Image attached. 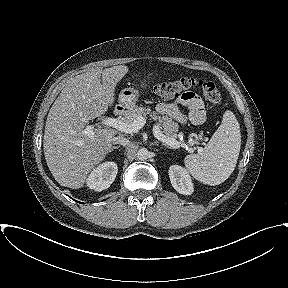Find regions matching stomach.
<instances>
[{
  "instance_id": "0dacf381",
  "label": "stomach",
  "mask_w": 288,
  "mask_h": 288,
  "mask_svg": "<svg viewBox=\"0 0 288 288\" xmlns=\"http://www.w3.org/2000/svg\"><path fill=\"white\" fill-rule=\"evenodd\" d=\"M143 85L146 86L145 81L142 82ZM139 97V91L134 87H129L123 89L119 94V102L117 105V109L128 112L135 107V103Z\"/></svg>"
}]
</instances>
